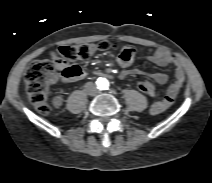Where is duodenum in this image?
Listing matches in <instances>:
<instances>
[{
	"mask_svg": "<svg viewBox=\"0 0 212 183\" xmlns=\"http://www.w3.org/2000/svg\"><path fill=\"white\" fill-rule=\"evenodd\" d=\"M96 75H102L103 73L101 71H95L94 72Z\"/></svg>",
	"mask_w": 212,
	"mask_h": 183,
	"instance_id": "1",
	"label": "duodenum"
}]
</instances>
